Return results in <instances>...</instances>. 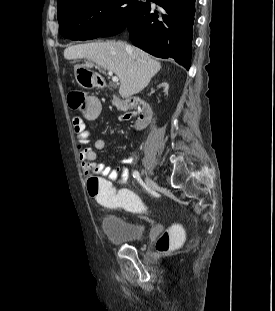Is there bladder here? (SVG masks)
I'll list each match as a JSON object with an SVG mask.
<instances>
[{
  "mask_svg": "<svg viewBox=\"0 0 275 311\" xmlns=\"http://www.w3.org/2000/svg\"><path fill=\"white\" fill-rule=\"evenodd\" d=\"M102 228L107 238L114 243L137 242L143 234L138 223L116 214H106L102 219Z\"/></svg>",
  "mask_w": 275,
  "mask_h": 311,
  "instance_id": "1",
  "label": "bladder"
}]
</instances>
